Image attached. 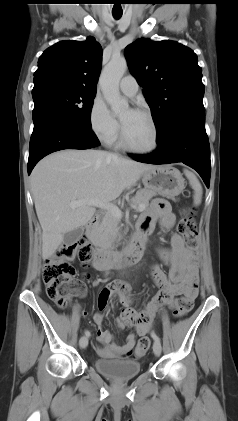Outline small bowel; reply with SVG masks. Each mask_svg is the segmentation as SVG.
<instances>
[{
	"instance_id": "1",
	"label": "small bowel",
	"mask_w": 238,
	"mask_h": 421,
	"mask_svg": "<svg viewBox=\"0 0 238 421\" xmlns=\"http://www.w3.org/2000/svg\"><path fill=\"white\" fill-rule=\"evenodd\" d=\"M175 220L170 205L163 199H155L149 210L139 218L138 234L145 236L151 233L158 221L164 229L169 230L174 226ZM159 257L169 267V272L166 274L156 263L151 266L152 279L160 290L144 310L136 311L131 308V288L126 283L112 282L100 292L97 303L98 312L93 317L98 326L97 340L101 344V346H94L98 356L102 358L126 357L134 347L135 334L144 336L150 332L163 305L173 307L176 297L191 303L196 298L199 265L183 238L179 234H172L170 248H159ZM115 297L123 307V312L116 322L117 328L129 326L135 330V334H130L122 344L115 343L113 335L102 328L103 312L108 302Z\"/></svg>"
}]
</instances>
